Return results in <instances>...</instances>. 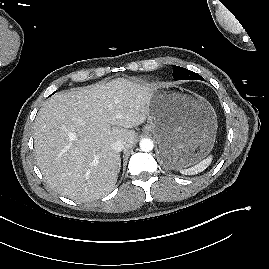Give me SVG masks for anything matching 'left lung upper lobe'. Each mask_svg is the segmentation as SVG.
Wrapping results in <instances>:
<instances>
[{
    "label": "left lung upper lobe",
    "instance_id": "1",
    "mask_svg": "<svg viewBox=\"0 0 269 269\" xmlns=\"http://www.w3.org/2000/svg\"><path fill=\"white\" fill-rule=\"evenodd\" d=\"M173 78L175 80H189V79L203 80V78L199 74L187 70L186 68H182L175 65H173Z\"/></svg>",
    "mask_w": 269,
    "mask_h": 269
}]
</instances>
